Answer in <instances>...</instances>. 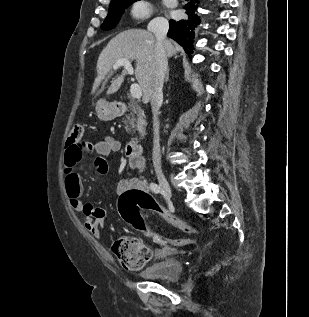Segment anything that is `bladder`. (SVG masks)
<instances>
[{"mask_svg": "<svg viewBox=\"0 0 309 317\" xmlns=\"http://www.w3.org/2000/svg\"><path fill=\"white\" fill-rule=\"evenodd\" d=\"M183 272V264L178 258L169 257L157 260L148 266L141 274L147 280H162L176 282Z\"/></svg>", "mask_w": 309, "mask_h": 317, "instance_id": "31cf9c89", "label": "bladder"}]
</instances>
